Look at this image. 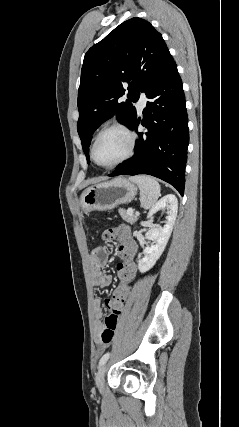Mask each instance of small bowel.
<instances>
[{
  "label": "small bowel",
  "instance_id": "1",
  "mask_svg": "<svg viewBox=\"0 0 239 427\" xmlns=\"http://www.w3.org/2000/svg\"><path fill=\"white\" fill-rule=\"evenodd\" d=\"M111 230H114L111 228ZM109 249L106 247H96L89 255V265L93 286L96 288H106L112 283V276L104 272V267L108 263ZM127 298H125L126 301ZM108 307L101 298L96 297L93 301L94 316L98 330L102 328L103 308Z\"/></svg>",
  "mask_w": 239,
  "mask_h": 427
}]
</instances>
